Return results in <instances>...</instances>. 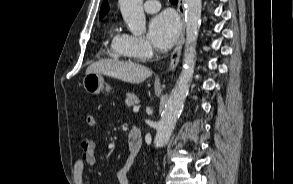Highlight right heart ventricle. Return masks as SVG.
<instances>
[{
	"label": "right heart ventricle",
	"mask_w": 293,
	"mask_h": 184,
	"mask_svg": "<svg viewBox=\"0 0 293 184\" xmlns=\"http://www.w3.org/2000/svg\"><path fill=\"white\" fill-rule=\"evenodd\" d=\"M108 54L114 59L130 60L135 58L125 43L124 34H119L115 29L111 30Z\"/></svg>",
	"instance_id": "obj_1"
}]
</instances>
